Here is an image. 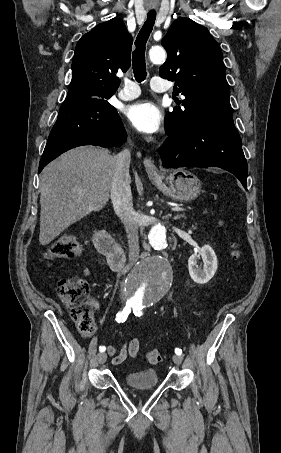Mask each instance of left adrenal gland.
<instances>
[{
	"label": "left adrenal gland",
	"instance_id": "a2214340",
	"mask_svg": "<svg viewBox=\"0 0 281 453\" xmlns=\"http://www.w3.org/2000/svg\"><path fill=\"white\" fill-rule=\"evenodd\" d=\"M181 216H184V214H176V216H174V218H181Z\"/></svg>",
	"mask_w": 281,
	"mask_h": 453
}]
</instances>
